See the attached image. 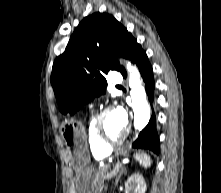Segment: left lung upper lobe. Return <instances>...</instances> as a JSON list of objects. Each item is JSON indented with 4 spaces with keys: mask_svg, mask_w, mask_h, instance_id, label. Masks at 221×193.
I'll return each instance as SVG.
<instances>
[{
    "mask_svg": "<svg viewBox=\"0 0 221 193\" xmlns=\"http://www.w3.org/2000/svg\"><path fill=\"white\" fill-rule=\"evenodd\" d=\"M136 43L112 15L98 12L85 17L53 65L51 84L60 111L74 114L104 94L105 74L110 70L121 72L124 68L116 57L128 58Z\"/></svg>",
    "mask_w": 221,
    "mask_h": 193,
    "instance_id": "obj_1",
    "label": "left lung upper lobe"
}]
</instances>
